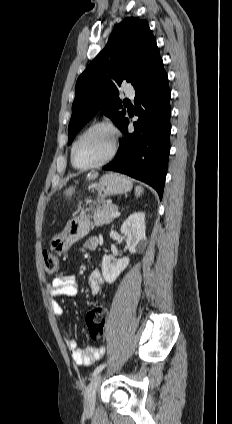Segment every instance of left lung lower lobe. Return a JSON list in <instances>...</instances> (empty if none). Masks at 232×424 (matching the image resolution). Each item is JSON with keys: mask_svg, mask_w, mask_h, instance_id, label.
I'll use <instances>...</instances> for the list:
<instances>
[{"mask_svg": "<svg viewBox=\"0 0 232 424\" xmlns=\"http://www.w3.org/2000/svg\"><path fill=\"white\" fill-rule=\"evenodd\" d=\"M134 103L139 119L134 132L128 133L125 117L120 130L125 139L119 144L116 158L105 170L127 174L152 186L163 196L170 151V89L161 60L149 77L135 88Z\"/></svg>", "mask_w": 232, "mask_h": 424, "instance_id": "obj_1", "label": "left lung lower lobe"}]
</instances>
